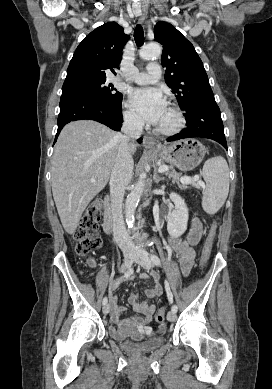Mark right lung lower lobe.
Here are the masks:
<instances>
[{"label":"right lung lower lobe","mask_w":272,"mask_h":389,"mask_svg":"<svg viewBox=\"0 0 272 389\" xmlns=\"http://www.w3.org/2000/svg\"><path fill=\"white\" fill-rule=\"evenodd\" d=\"M122 117L121 103L108 104L87 95H62L56 139L65 124L81 119L95 120L113 130L120 131L123 122ZM138 142L141 143L142 138L138 139Z\"/></svg>","instance_id":"right-lung-lower-lobe-1"}]
</instances>
